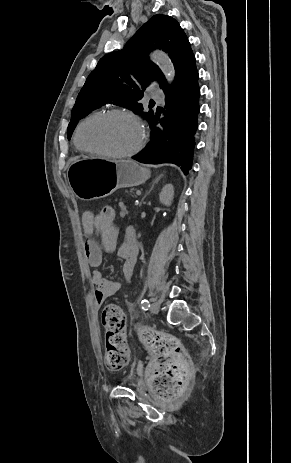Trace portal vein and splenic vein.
Wrapping results in <instances>:
<instances>
[{
	"mask_svg": "<svg viewBox=\"0 0 291 463\" xmlns=\"http://www.w3.org/2000/svg\"><path fill=\"white\" fill-rule=\"evenodd\" d=\"M136 193H137V194H140L141 192L138 190Z\"/></svg>",
	"mask_w": 291,
	"mask_h": 463,
	"instance_id": "1",
	"label": "portal vein and splenic vein"
}]
</instances>
